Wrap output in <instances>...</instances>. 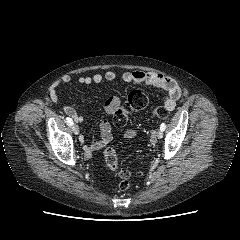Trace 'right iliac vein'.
Returning a JSON list of instances; mask_svg holds the SVG:
<instances>
[{"mask_svg":"<svg viewBox=\"0 0 240 240\" xmlns=\"http://www.w3.org/2000/svg\"><path fill=\"white\" fill-rule=\"evenodd\" d=\"M72 131L74 132V134L78 135L79 134V127L76 124L72 125Z\"/></svg>","mask_w":240,"mask_h":240,"instance_id":"right-iliac-vein-1","label":"right iliac vein"}]
</instances>
